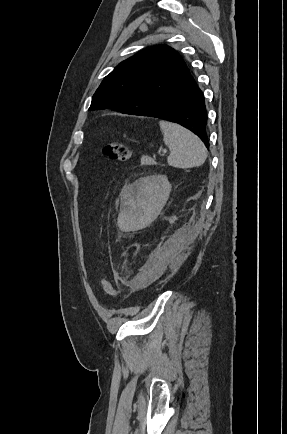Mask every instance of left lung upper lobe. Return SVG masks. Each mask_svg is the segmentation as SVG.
Here are the masks:
<instances>
[{"label":"left lung upper lobe","mask_w":287,"mask_h":434,"mask_svg":"<svg viewBox=\"0 0 287 434\" xmlns=\"http://www.w3.org/2000/svg\"><path fill=\"white\" fill-rule=\"evenodd\" d=\"M189 75L181 56L171 47L158 45L121 62L107 75L92 97L89 110L112 108L137 114L156 104Z\"/></svg>","instance_id":"left-lung-upper-lobe-1"}]
</instances>
